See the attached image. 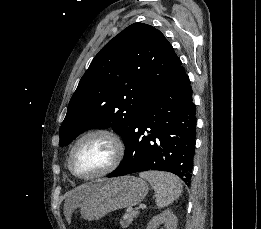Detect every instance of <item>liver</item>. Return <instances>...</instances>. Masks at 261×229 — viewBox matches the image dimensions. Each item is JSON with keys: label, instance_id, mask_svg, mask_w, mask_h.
<instances>
[{"label": "liver", "instance_id": "obj_1", "mask_svg": "<svg viewBox=\"0 0 261 229\" xmlns=\"http://www.w3.org/2000/svg\"><path fill=\"white\" fill-rule=\"evenodd\" d=\"M90 193V189H87V187H84V185L79 187V189H75V191H71L69 201L71 203L72 211L78 207L81 201H85V199L89 197Z\"/></svg>", "mask_w": 261, "mask_h": 229}]
</instances>
